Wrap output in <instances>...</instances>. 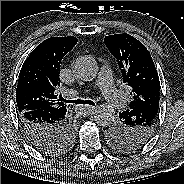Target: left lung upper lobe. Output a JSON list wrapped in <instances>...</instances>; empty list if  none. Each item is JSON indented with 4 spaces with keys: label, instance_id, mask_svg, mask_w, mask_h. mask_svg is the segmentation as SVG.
<instances>
[{
    "label": "left lung upper lobe",
    "instance_id": "left-lung-upper-lobe-1",
    "mask_svg": "<svg viewBox=\"0 0 184 184\" xmlns=\"http://www.w3.org/2000/svg\"><path fill=\"white\" fill-rule=\"evenodd\" d=\"M104 43L117 59L123 83L130 86V107L119 113V119L109 128L108 139L122 152L140 148L151 137L158 118L157 108L142 107L160 98V82L147 48L133 36L123 33L109 35ZM145 112V114H141Z\"/></svg>",
    "mask_w": 184,
    "mask_h": 184
}]
</instances>
